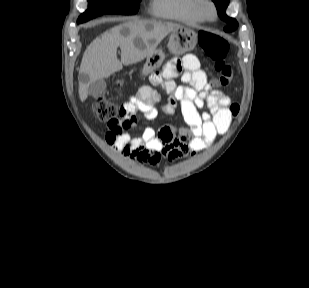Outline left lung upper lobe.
<instances>
[{
	"label": "left lung upper lobe",
	"instance_id": "obj_1",
	"mask_svg": "<svg viewBox=\"0 0 309 288\" xmlns=\"http://www.w3.org/2000/svg\"><path fill=\"white\" fill-rule=\"evenodd\" d=\"M217 7V11L222 20H224L228 26L224 28L226 32H232L238 27V23L235 19L228 17L225 14V10L229 4V0H212Z\"/></svg>",
	"mask_w": 309,
	"mask_h": 288
}]
</instances>
